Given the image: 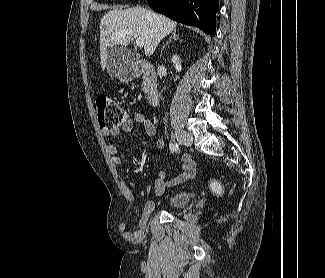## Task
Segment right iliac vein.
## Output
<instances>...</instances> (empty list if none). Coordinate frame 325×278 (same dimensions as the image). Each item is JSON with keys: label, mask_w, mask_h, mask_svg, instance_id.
Returning a JSON list of instances; mask_svg holds the SVG:
<instances>
[{"label": "right iliac vein", "mask_w": 325, "mask_h": 278, "mask_svg": "<svg viewBox=\"0 0 325 278\" xmlns=\"http://www.w3.org/2000/svg\"><path fill=\"white\" fill-rule=\"evenodd\" d=\"M175 136H176L177 140H178L181 144H183V145H185V146H191V145H192L193 138H192V136H191L189 133H187L186 131H184V130H177V131L175 132Z\"/></svg>", "instance_id": "1"}]
</instances>
